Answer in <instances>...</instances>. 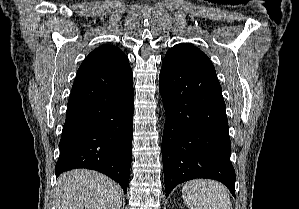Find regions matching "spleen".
Masks as SVG:
<instances>
[{
  "label": "spleen",
  "instance_id": "spleen-1",
  "mask_svg": "<svg viewBox=\"0 0 299 209\" xmlns=\"http://www.w3.org/2000/svg\"><path fill=\"white\" fill-rule=\"evenodd\" d=\"M182 195L189 209H233L227 188L214 180L189 181Z\"/></svg>",
  "mask_w": 299,
  "mask_h": 209
}]
</instances>
